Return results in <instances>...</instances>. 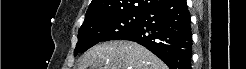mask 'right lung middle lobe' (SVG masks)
Masks as SVG:
<instances>
[{"instance_id":"obj_1","label":"right lung middle lobe","mask_w":246,"mask_h":69,"mask_svg":"<svg viewBox=\"0 0 246 69\" xmlns=\"http://www.w3.org/2000/svg\"><path fill=\"white\" fill-rule=\"evenodd\" d=\"M141 20L142 14H122L84 22L78 32L74 55L85 52L99 42L120 39L138 26Z\"/></svg>"}]
</instances>
